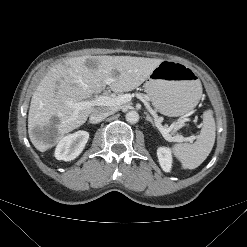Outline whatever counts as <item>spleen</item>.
Instances as JSON below:
<instances>
[{
    "instance_id": "1",
    "label": "spleen",
    "mask_w": 247,
    "mask_h": 247,
    "mask_svg": "<svg viewBox=\"0 0 247 247\" xmlns=\"http://www.w3.org/2000/svg\"><path fill=\"white\" fill-rule=\"evenodd\" d=\"M216 125L211 110L203 114L200 134L193 144H175L172 147L174 155L182 163L184 169H195L200 166L210 154L215 143Z\"/></svg>"
}]
</instances>
